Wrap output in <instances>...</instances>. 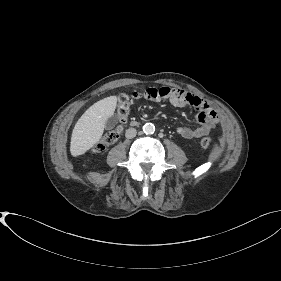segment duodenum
Here are the masks:
<instances>
[{
    "instance_id": "1",
    "label": "duodenum",
    "mask_w": 281,
    "mask_h": 281,
    "mask_svg": "<svg viewBox=\"0 0 281 281\" xmlns=\"http://www.w3.org/2000/svg\"><path fill=\"white\" fill-rule=\"evenodd\" d=\"M137 125H138V122H137V121L131 122V126H137Z\"/></svg>"
}]
</instances>
